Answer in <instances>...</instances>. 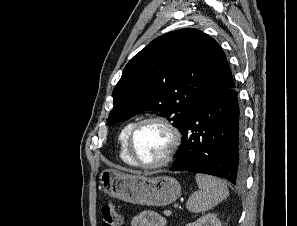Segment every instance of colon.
I'll list each match as a JSON object with an SVG mask.
<instances>
[{
  "label": "colon",
  "mask_w": 297,
  "mask_h": 226,
  "mask_svg": "<svg viewBox=\"0 0 297 226\" xmlns=\"http://www.w3.org/2000/svg\"><path fill=\"white\" fill-rule=\"evenodd\" d=\"M102 226H121V218L111 202L105 203L101 208Z\"/></svg>",
  "instance_id": "obj_1"
}]
</instances>
